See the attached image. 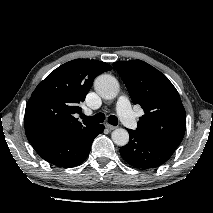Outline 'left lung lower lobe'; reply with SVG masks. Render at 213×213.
Masks as SVG:
<instances>
[{
	"label": "left lung lower lobe",
	"mask_w": 213,
	"mask_h": 213,
	"mask_svg": "<svg viewBox=\"0 0 213 213\" xmlns=\"http://www.w3.org/2000/svg\"><path fill=\"white\" fill-rule=\"evenodd\" d=\"M129 143L120 148L122 158L130 165L141 168H155L166 162L175 149L151 142L136 130H128Z\"/></svg>",
	"instance_id": "0a47b994"
}]
</instances>
